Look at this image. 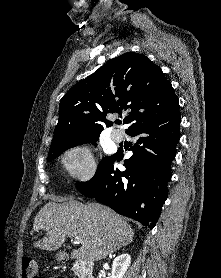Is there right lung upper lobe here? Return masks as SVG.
Instances as JSON below:
<instances>
[{
    "instance_id": "right-lung-upper-lobe-1",
    "label": "right lung upper lobe",
    "mask_w": 221,
    "mask_h": 278,
    "mask_svg": "<svg viewBox=\"0 0 221 278\" xmlns=\"http://www.w3.org/2000/svg\"><path fill=\"white\" fill-rule=\"evenodd\" d=\"M179 101L161 68L142 54L127 52L73 86L60 100L59 121L50 149L100 135L111 113L128 110L131 128L172 114Z\"/></svg>"
}]
</instances>
